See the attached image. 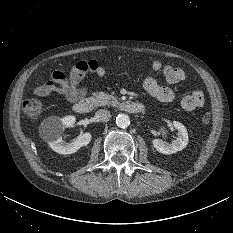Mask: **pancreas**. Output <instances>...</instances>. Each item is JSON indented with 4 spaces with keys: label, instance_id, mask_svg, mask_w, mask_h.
Masks as SVG:
<instances>
[{
    "label": "pancreas",
    "instance_id": "obj_1",
    "mask_svg": "<svg viewBox=\"0 0 233 233\" xmlns=\"http://www.w3.org/2000/svg\"><path fill=\"white\" fill-rule=\"evenodd\" d=\"M93 96L95 97L96 104L98 106H104V105L116 106L118 104V101L114 96L108 95L105 92H96L93 93Z\"/></svg>",
    "mask_w": 233,
    "mask_h": 233
}]
</instances>
